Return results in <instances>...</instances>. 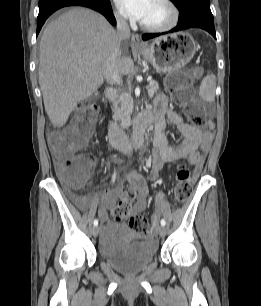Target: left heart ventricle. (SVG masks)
<instances>
[{"label":"left heart ventricle","instance_id":"obj_1","mask_svg":"<svg viewBox=\"0 0 261 306\" xmlns=\"http://www.w3.org/2000/svg\"><path fill=\"white\" fill-rule=\"evenodd\" d=\"M169 17L167 8L158 0H151L148 11L141 21L146 24L164 23Z\"/></svg>","mask_w":261,"mask_h":306}]
</instances>
